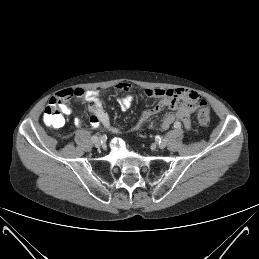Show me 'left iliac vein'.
Masks as SVG:
<instances>
[{"instance_id":"4c4485c4","label":"left iliac vein","mask_w":259,"mask_h":259,"mask_svg":"<svg viewBox=\"0 0 259 259\" xmlns=\"http://www.w3.org/2000/svg\"><path fill=\"white\" fill-rule=\"evenodd\" d=\"M166 145H167V141L165 139H163L161 142H159L158 147L160 149H164L166 147Z\"/></svg>"}]
</instances>
